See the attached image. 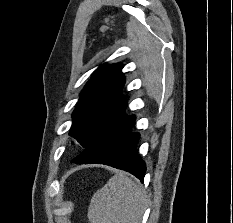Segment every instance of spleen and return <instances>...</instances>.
Returning <instances> with one entry per match:
<instances>
[{
    "instance_id": "obj_1",
    "label": "spleen",
    "mask_w": 233,
    "mask_h": 223,
    "mask_svg": "<svg viewBox=\"0 0 233 223\" xmlns=\"http://www.w3.org/2000/svg\"><path fill=\"white\" fill-rule=\"evenodd\" d=\"M147 195L140 183L125 173L113 175L94 193L88 207L89 223H139Z\"/></svg>"
}]
</instances>
